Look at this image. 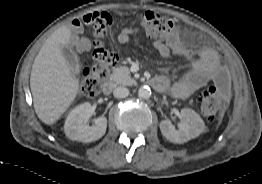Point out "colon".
Here are the masks:
<instances>
[{
	"label": "colon",
	"instance_id": "obj_1",
	"mask_svg": "<svg viewBox=\"0 0 262 184\" xmlns=\"http://www.w3.org/2000/svg\"><path fill=\"white\" fill-rule=\"evenodd\" d=\"M81 21L92 28L94 50L93 63L83 70L80 95L94 97L100 92L103 81L107 79L111 67L118 60L116 53L103 45L112 18L106 12H90L85 14ZM135 21L149 37L156 40L168 39L178 30V24L173 19L153 11L139 14ZM229 87V74L223 69L219 71L214 84L201 91L199 105L206 119L214 120L220 116L222 100L227 95Z\"/></svg>",
	"mask_w": 262,
	"mask_h": 184
}]
</instances>
